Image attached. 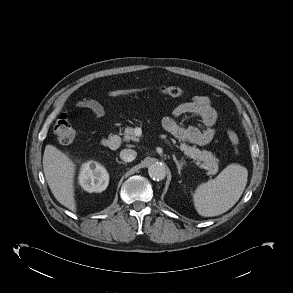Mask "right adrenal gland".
<instances>
[{"mask_svg": "<svg viewBox=\"0 0 293 293\" xmlns=\"http://www.w3.org/2000/svg\"><path fill=\"white\" fill-rule=\"evenodd\" d=\"M116 161H117V163H119V164H125L124 162L119 161L118 158H116Z\"/></svg>", "mask_w": 293, "mask_h": 293, "instance_id": "right-adrenal-gland-1", "label": "right adrenal gland"}]
</instances>
